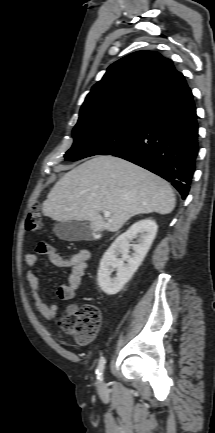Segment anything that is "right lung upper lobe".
Segmentation results:
<instances>
[{"label":"right lung upper lobe","instance_id":"cb5924a9","mask_svg":"<svg viewBox=\"0 0 215 433\" xmlns=\"http://www.w3.org/2000/svg\"><path fill=\"white\" fill-rule=\"evenodd\" d=\"M186 87L170 59L155 51H137L109 66L87 95L78 122L145 115Z\"/></svg>","mask_w":215,"mask_h":433}]
</instances>
